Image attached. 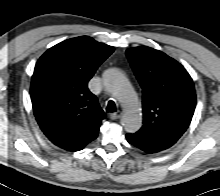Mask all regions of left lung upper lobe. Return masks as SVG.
Listing matches in <instances>:
<instances>
[{
	"label": "left lung upper lobe",
	"instance_id": "obj_1",
	"mask_svg": "<svg viewBox=\"0 0 220 196\" xmlns=\"http://www.w3.org/2000/svg\"><path fill=\"white\" fill-rule=\"evenodd\" d=\"M126 55L143 89V126L136 134L166 150L188 128L196 105L193 81L173 58L147 46Z\"/></svg>",
	"mask_w": 220,
	"mask_h": 196
}]
</instances>
